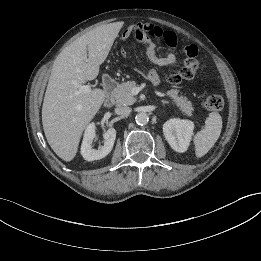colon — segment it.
Masks as SVG:
<instances>
[{"instance_id":"colon-1","label":"colon","mask_w":261,"mask_h":261,"mask_svg":"<svg viewBox=\"0 0 261 261\" xmlns=\"http://www.w3.org/2000/svg\"><path fill=\"white\" fill-rule=\"evenodd\" d=\"M135 32V27L133 25H128L122 30V33L118 36L121 42L128 41L131 34ZM204 107L211 112H217L223 109L224 100L219 95H209L204 101Z\"/></svg>"}]
</instances>
